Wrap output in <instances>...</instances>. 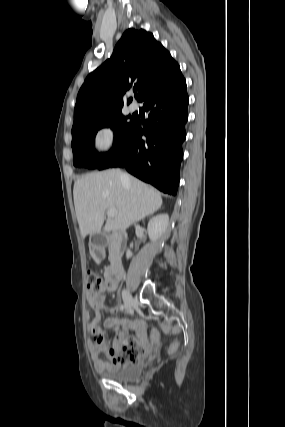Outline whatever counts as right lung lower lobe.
Wrapping results in <instances>:
<instances>
[{"instance_id": "right-lung-lower-lobe-1", "label": "right lung lower lobe", "mask_w": 285, "mask_h": 427, "mask_svg": "<svg viewBox=\"0 0 285 427\" xmlns=\"http://www.w3.org/2000/svg\"><path fill=\"white\" fill-rule=\"evenodd\" d=\"M139 101L145 102L148 120L135 117L123 143L96 169L124 167L164 193L176 195L189 103L180 67L149 86Z\"/></svg>"}]
</instances>
